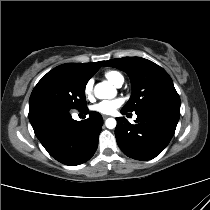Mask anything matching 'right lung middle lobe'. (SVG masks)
<instances>
[{
  "instance_id": "right-lung-middle-lobe-1",
  "label": "right lung middle lobe",
  "mask_w": 210,
  "mask_h": 210,
  "mask_svg": "<svg viewBox=\"0 0 210 210\" xmlns=\"http://www.w3.org/2000/svg\"><path fill=\"white\" fill-rule=\"evenodd\" d=\"M87 80L65 71L48 72L35 86L29 100V120L64 112L75 108H87L85 87Z\"/></svg>"
}]
</instances>
